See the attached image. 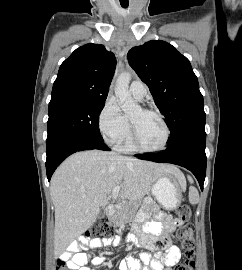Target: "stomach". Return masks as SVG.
Returning <instances> with one entry per match:
<instances>
[{
    "label": "stomach",
    "instance_id": "stomach-1",
    "mask_svg": "<svg viewBox=\"0 0 242 270\" xmlns=\"http://www.w3.org/2000/svg\"><path fill=\"white\" fill-rule=\"evenodd\" d=\"M186 183L171 174L160 176L152 185L154 198L167 210L175 209L181 202Z\"/></svg>",
    "mask_w": 242,
    "mask_h": 270
}]
</instances>
